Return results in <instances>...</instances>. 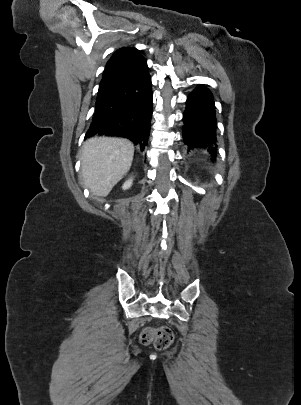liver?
<instances>
[{
	"mask_svg": "<svg viewBox=\"0 0 301 405\" xmlns=\"http://www.w3.org/2000/svg\"><path fill=\"white\" fill-rule=\"evenodd\" d=\"M134 145L127 139L94 137L81 151V174L85 187L96 196H107L129 171Z\"/></svg>",
	"mask_w": 301,
	"mask_h": 405,
	"instance_id": "1",
	"label": "liver"
}]
</instances>
